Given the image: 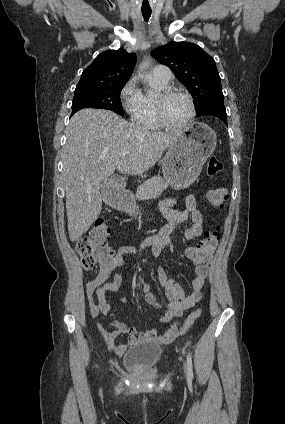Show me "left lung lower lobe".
I'll return each mask as SVG.
<instances>
[{
    "mask_svg": "<svg viewBox=\"0 0 285 424\" xmlns=\"http://www.w3.org/2000/svg\"><path fill=\"white\" fill-rule=\"evenodd\" d=\"M215 116L227 125V114L223 100L213 101L197 112V117Z\"/></svg>",
    "mask_w": 285,
    "mask_h": 424,
    "instance_id": "left-lung-lower-lobe-1",
    "label": "left lung lower lobe"
}]
</instances>
